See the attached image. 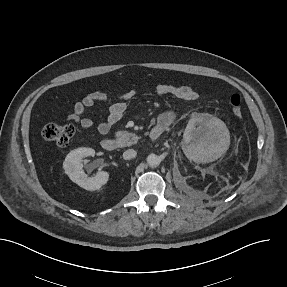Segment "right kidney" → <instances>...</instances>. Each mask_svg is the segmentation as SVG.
Returning a JSON list of instances; mask_svg holds the SVG:
<instances>
[{"mask_svg":"<svg viewBox=\"0 0 287 287\" xmlns=\"http://www.w3.org/2000/svg\"><path fill=\"white\" fill-rule=\"evenodd\" d=\"M94 154L95 151L91 148H78L71 151L63 162V168L69 178L80 187L89 191L99 190L109 179L108 172L101 171L96 173L95 176L89 177L82 169V159Z\"/></svg>","mask_w":287,"mask_h":287,"instance_id":"1","label":"right kidney"}]
</instances>
